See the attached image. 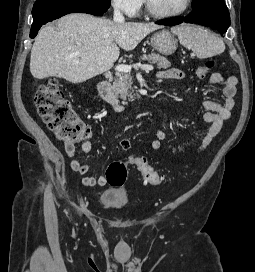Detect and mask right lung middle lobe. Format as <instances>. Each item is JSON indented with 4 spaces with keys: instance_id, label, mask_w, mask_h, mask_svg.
<instances>
[{
    "instance_id": "dd1d6c3e",
    "label": "right lung middle lobe",
    "mask_w": 255,
    "mask_h": 272,
    "mask_svg": "<svg viewBox=\"0 0 255 272\" xmlns=\"http://www.w3.org/2000/svg\"><path fill=\"white\" fill-rule=\"evenodd\" d=\"M77 1L94 6L104 12H106L110 7V0H77Z\"/></svg>"
}]
</instances>
